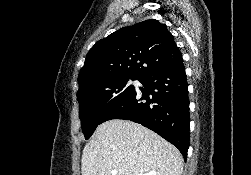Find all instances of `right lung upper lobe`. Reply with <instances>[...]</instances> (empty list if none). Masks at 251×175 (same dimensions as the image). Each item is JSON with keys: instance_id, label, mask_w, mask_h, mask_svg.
Listing matches in <instances>:
<instances>
[{"instance_id": "right-lung-upper-lobe-1", "label": "right lung upper lobe", "mask_w": 251, "mask_h": 175, "mask_svg": "<svg viewBox=\"0 0 251 175\" xmlns=\"http://www.w3.org/2000/svg\"><path fill=\"white\" fill-rule=\"evenodd\" d=\"M182 60L166 24L145 20L95 43L79 72V88L105 84L123 76L142 78Z\"/></svg>"}]
</instances>
